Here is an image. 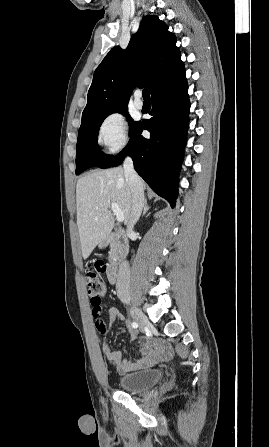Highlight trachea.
Wrapping results in <instances>:
<instances>
[{
	"label": "trachea",
	"mask_w": 269,
	"mask_h": 447,
	"mask_svg": "<svg viewBox=\"0 0 269 447\" xmlns=\"http://www.w3.org/2000/svg\"><path fill=\"white\" fill-rule=\"evenodd\" d=\"M144 100H150V92L147 88H145L142 92Z\"/></svg>",
	"instance_id": "obj_1"
}]
</instances>
